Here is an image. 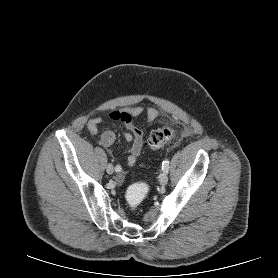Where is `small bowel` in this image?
I'll return each instance as SVG.
<instances>
[{
	"instance_id": "small-bowel-1",
	"label": "small bowel",
	"mask_w": 278,
	"mask_h": 278,
	"mask_svg": "<svg viewBox=\"0 0 278 278\" xmlns=\"http://www.w3.org/2000/svg\"><path fill=\"white\" fill-rule=\"evenodd\" d=\"M145 113L148 121H154L160 115V112L153 107L144 110L140 106L125 108L117 111H113L108 115V118L113 121H120L125 125L127 132L124 134V139L127 142H131V147L125 158L126 162L133 166L137 163L143 148V131L138 128L134 119ZM103 122V118L95 117L91 119L88 123V129L92 133H97L99 125ZM116 141V135L111 130H106L102 133L100 137V143L106 148H110L114 145ZM123 175H118L117 180L122 181Z\"/></svg>"
}]
</instances>
